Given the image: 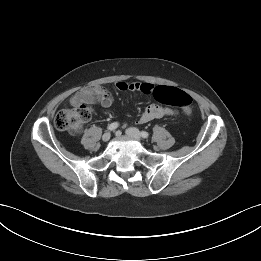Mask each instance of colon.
<instances>
[{"label": "colon", "instance_id": "colon-1", "mask_svg": "<svg viewBox=\"0 0 261 261\" xmlns=\"http://www.w3.org/2000/svg\"><path fill=\"white\" fill-rule=\"evenodd\" d=\"M154 96L163 104L179 107L187 115L191 113L192 98L181 89L158 87L154 90ZM92 113V107L85 104L65 108L56 114L54 124L58 130L76 135L81 132L83 125L91 118Z\"/></svg>", "mask_w": 261, "mask_h": 261}]
</instances>
